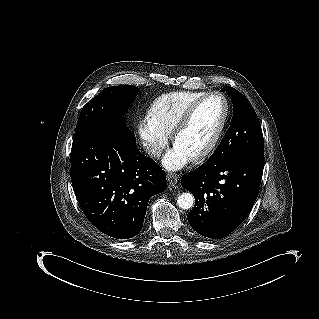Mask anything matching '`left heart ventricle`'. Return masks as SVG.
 Segmentation results:
<instances>
[{"mask_svg": "<svg viewBox=\"0 0 319 319\" xmlns=\"http://www.w3.org/2000/svg\"><path fill=\"white\" fill-rule=\"evenodd\" d=\"M224 104L214 97L202 102L178 136V145L190 152L203 148L212 138L223 115Z\"/></svg>", "mask_w": 319, "mask_h": 319, "instance_id": "obj_1", "label": "left heart ventricle"}]
</instances>
